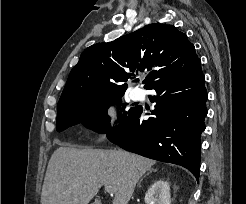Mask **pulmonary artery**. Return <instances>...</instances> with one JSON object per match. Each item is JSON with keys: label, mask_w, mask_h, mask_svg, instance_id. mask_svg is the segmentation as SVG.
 <instances>
[{"label": "pulmonary artery", "mask_w": 246, "mask_h": 204, "mask_svg": "<svg viewBox=\"0 0 246 204\" xmlns=\"http://www.w3.org/2000/svg\"><path fill=\"white\" fill-rule=\"evenodd\" d=\"M143 97V93L140 89H134L132 92H131V98L134 100V101H139L141 100Z\"/></svg>", "instance_id": "1"}]
</instances>
